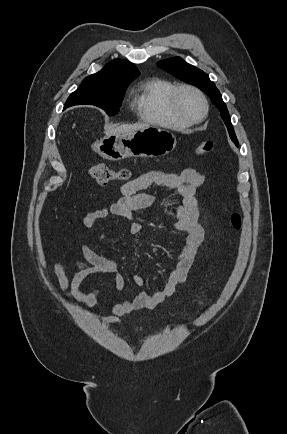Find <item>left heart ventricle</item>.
<instances>
[{"mask_svg":"<svg viewBox=\"0 0 287 434\" xmlns=\"http://www.w3.org/2000/svg\"><path fill=\"white\" fill-rule=\"evenodd\" d=\"M178 107L181 113L189 119L199 117L203 111L200 99L196 94L190 91H184L181 93L178 100Z\"/></svg>","mask_w":287,"mask_h":434,"instance_id":"1","label":"left heart ventricle"}]
</instances>
